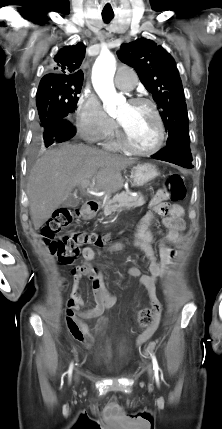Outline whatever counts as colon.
Returning <instances> with one entry per match:
<instances>
[{
	"label": "colon",
	"mask_w": 222,
	"mask_h": 429,
	"mask_svg": "<svg viewBox=\"0 0 222 429\" xmlns=\"http://www.w3.org/2000/svg\"><path fill=\"white\" fill-rule=\"evenodd\" d=\"M165 199L174 202L181 201L186 196L182 177L172 173L167 177V185L161 190ZM79 216V212L70 209L58 210L42 229V236L51 253L63 264H71L81 253L83 246H103L108 236L94 233H72L57 239V235L71 225ZM162 312V306L157 300H151L148 307L138 315V324L142 329L156 325Z\"/></svg>",
	"instance_id": "colon-1"
}]
</instances>
